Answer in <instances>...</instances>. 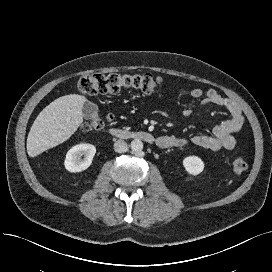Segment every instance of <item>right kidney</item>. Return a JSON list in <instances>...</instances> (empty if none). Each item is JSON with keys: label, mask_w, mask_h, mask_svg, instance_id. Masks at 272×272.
Segmentation results:
<instances>
[{"label": "right kidney", "mask_w": 272, "mask_h": 272, "mask_svg": "<svg viewBox=\"0 0 272 272\" xmlns=\"http://www.w3.org/2000/svg\"><path fill=\"white\" fill-rule=\"evenodd\" d=\"M96 148L92 144L82 143L72 147L66 154L64 166L69 172H81L87 169L93 160ZM84 155V159L81 157Z\"/></svg>", "instance_id": "right-kidney-1"}]
</instances>
